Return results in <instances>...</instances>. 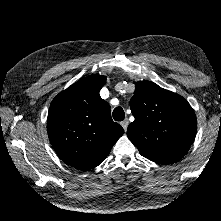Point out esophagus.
<instances>
[{
	"instance_id": "obj_1",
	"label": "esophagus",
	"mask_w": 221,
	"mask_h": 221,
	"mask_svg": "<svg viewBox=\"0 0 221 221\" xmlns=\"http://www.w3.org/2000/svg\"><path fill=\"white\" fill-rule=\"evenodd\" d=\"M128 125H129L128 119H125L124 121L121 122V126L124 128L125 131H126Z\"/></svg>"
}]
</instances>
